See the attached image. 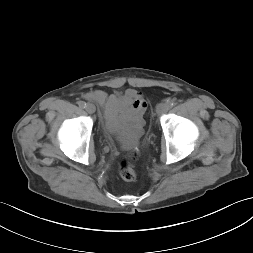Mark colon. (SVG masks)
I'll return each mask as SVG.
<instances>
[{"instance_id": "colon-1", "label": "colon", "mask_w": 253, "mask_h": 253, "mask_svg": "<svg viewBox=\"0 0 253 253\" xmlns=\"http://www.w3.org/2000/svg\"><path fill=\"white\" fill-rule=\"evenodd\" d=\"M137 153L133 151L130 156L120 160L118 171L122 179L126 181H133L136 179V172L132 165V159L135 158Z\"/></svg>"}]
</instances>
